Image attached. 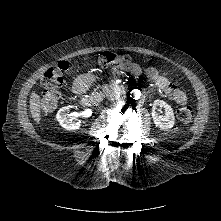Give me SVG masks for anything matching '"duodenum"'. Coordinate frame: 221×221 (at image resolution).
I'll list each match as a JSON object with an SVG mask.
<instances>
[{
  "mask_svg": "<svg viewBox=\"0 0 221 221\" xmlns=\"http://www.w3.org/2000/svg\"><path fill=\"white\" fill-rule=\"evenodd\" d=\"M103 94H104L103 92L95 94V95H87L86 93L80 94L81 95V102L85 106L94 105L102 99Z\"/></svg>",
  "mask_w": 221,
  "mask_h": 221,
  "instance_id": "obj_1",
  "label": "duodenum"
}]
</instances>
